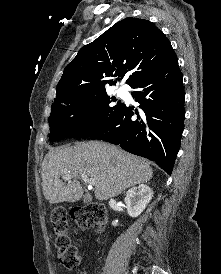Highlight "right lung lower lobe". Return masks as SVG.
<instances>
[{"label": "right lung lower lobe", "instance_id": "obj_1", "mask_svg": "<svg viewBox=\"0 0 221 274\" xmlns=\"http://www.w3.org/2000/svg\"><path fill=\"white\" fill-rule=\"evenodd\" d=\"M132 88L135 89L132 96L145 115L131 120L133 108L124 104L113 121L89 137L153 160L171 175L185 116L183 76L178 59Z\"/></svg>", "mask_w": 221, "mask_h": 274}]
</instances>
